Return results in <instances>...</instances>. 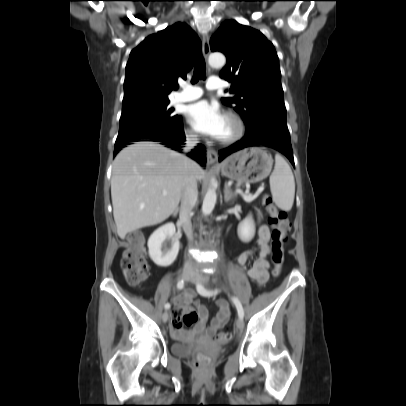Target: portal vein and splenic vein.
<instances>
[{"instance_id": "portal-vein-and-splenic-vein-1", "label": "portal vein and splenic vein", "mask_w": 406, "mask_h": 406, "mask_svg": "<svg viewBox=\"0 0 406 406\" xmlns=\"http://www.w3.org/2000/svg\"><path fill=\"white\" fill-rule=\"evenodd\" d=\"M237 192H238L239 194H241L242 197H243L245 200H247V201H252L253 199L256 198V195H254V196L249 195V196H248V195L244 194L241 189H237ZM163 195H167V191L164 190V191H163Z\"/></svg>"}]
</instances>
